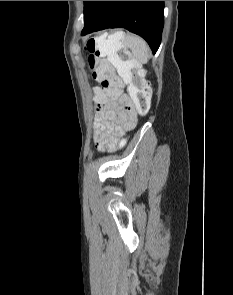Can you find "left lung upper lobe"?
I'll use <instances>...</instances> for the list:
<instances>
[{
	"label": "left lung upper lobe",
	"instance_id": "5c2ea615",
	"mask_svg": "<svg viewBox=\"0 0 233 295\" xmlns=\"http://www.w3.org/2000/svg\"><path fill=\"white\" fill-rule=\"evenodd\" d=\"M96 1H84V21L88 18L91 13V9Z\"/></svg>",
	"mask_w": 233,
	"mask_h": 295
}]
</instances>
